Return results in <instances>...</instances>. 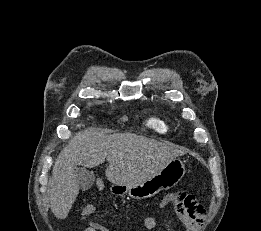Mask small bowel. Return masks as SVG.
Wrapping results in <instances>:
<instances>
[{
  "mask_svg": "<svg viewBox=\"0 0 261 231\" xmlns=\"http://www.w3.org/2000/svg\"><path fill=\"white\" fill-rule=\"evenodd\" d=\"M97 210V205L95 202H88L83 210V218H88ZM203 224L196 223L193 221H184V226L186 231H202ZM144 226L147 230H155L158 226V220L156 216H147L144 220ZM84 231H110L108 227L98 222H89Z\"/></svg>",
  "mask_w": 261,
  "mask_h": 231,
  "instance_id": "small-bowel-1",
  "label": "small bowel"
}]
</instances>
